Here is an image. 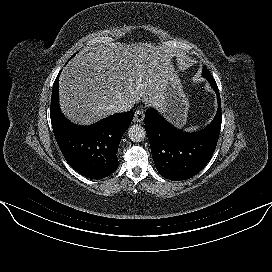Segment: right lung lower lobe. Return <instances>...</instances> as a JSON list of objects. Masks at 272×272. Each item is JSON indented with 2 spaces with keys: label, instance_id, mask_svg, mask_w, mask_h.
Segmentation results:
<instances>
[{
  "label": "right lung lower lobe",
  "instance_id": "right-lung-lower-lobe-1",
  "mask_svg": "<svg viewBox=\"0 0 272 272\" xmlns=\"http://www.w3.org/2000/svg\"><path fill=\"white\" fill-rule=\"evenodd\" d=\"M58 81L59 75L52 89L50 117L64 158L85 177L101 179L111 175L118 168V146L134 112L117 113L91 126L75 125L60 112Z\"/></svg>",
  "mask_w": 272,
  "mask_h": 272
}]
</instances>
